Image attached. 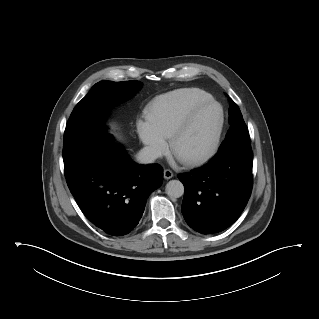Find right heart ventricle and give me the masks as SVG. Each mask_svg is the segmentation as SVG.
Segmentation results:
<instances>
[{
	"mask_svg": "<svg viewBox=\"0 0 319 319\" xmlns=\"http://www.w3.org/2000/svg\"><path fill=\"white\" fill-rule=\"evenodd\" d=\"M210 99L212 96L200 88L177 89L155 97L146 118L163 137L170 138L194 106Z\"/></svg>",
	"mask_w": 319,
	"mask_h": 319,
	"instance_id": "e07e8e85",
	"label": "right heart ventricle"
}]
</instances>
